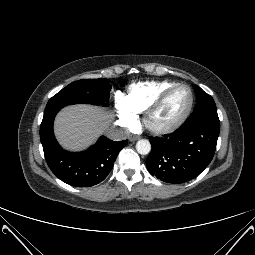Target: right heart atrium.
<instances>
[{"label": "right heart atrium", "instance_id": "obj_1", "mask_svg": "<svg viewBox=\"0 0 255 255\" xmlns=\"http://www.w3.org/2000/svg\"><path fill=\"white\" fill-rule=\"evenodd\" d=\"M116 110L121 124L124 127L132 128L137 124V115L124 102L123 98L118 97L116 100Z\"/></svg>", "mask_w": 255, "mask_h": 255}]
</instances>
